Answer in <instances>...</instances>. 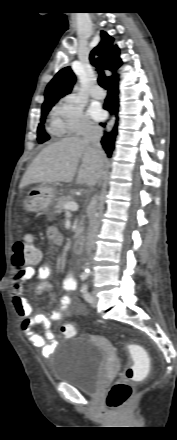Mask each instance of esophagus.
<instances>
[{"mask_svg": "<svg viewBox=\"0 0 177 440\" xmlns=\"http://www.w3.org/2000/svg\"><path fill=\"white\" fill-rule=\"evenodd\" d=\"M114 122H115V116L112 115L107 125L108 130H110L113 127Z\"/></svg>", "mask_w": 177, "mask_h": 440, "instance_id": "obj_1", "label": "esophagus"}]
</instances>
